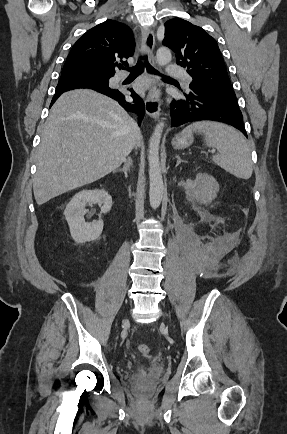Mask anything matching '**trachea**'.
Returning a JSON list of instances; mask_svg holds the SVG:
<instances>
[{
	"label": "trachea",
	"instance_id": "3493384b",
	"mask_svg": "<svg viewBox=\"0 0 287 434\" xmlns=\"http://www.w3.org/2000/svg\"><path fill=\"white\" fill-rule=\"evenodd\" d=\"M145 67H146L147 71L152 73V74L159 75L163 78H169L168 76H164V75L160 74L157 70H155L149 64L147 54H142L140 56L139 62L134 67L126 68V70L130 72V75L128 76V78L135 79L144 71ZM123 69H125V68H123Z\"/></svg>",
	"mask_w": 287,
	"mask_h": 434
}]
</instances>
